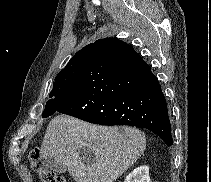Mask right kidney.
Returning a JSON list of instances; mask_svg holds the SVG:
<instances>
[{
  "instance_id": "1",
  "label": "right kidney",
  "mask_w": 211,
  "mask_h": 182,
  "mask_svg": "<svg viewBox=\"0 0 211 182\" xmlns=\"http://www.w3.org/2000/svg\"><path fill=\"white\" fill-rule=\"evenodd\" d=\"M124 182H150L149 167L146 165L135 168Z\"/></svg>"
}]
</instances>
